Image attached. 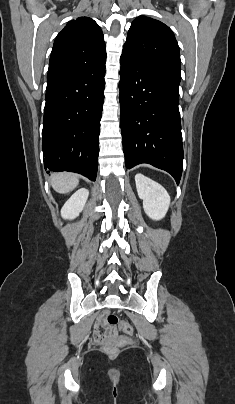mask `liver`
Returning a JSON list of instances; mask_svg holds the SVG:
<instances>
[{"label": "liver", "mask_w": 235, "mask_h": 404, "mask_svg": "<svg viewBox=\"0 0 235 404\" xmlns=\"http://www.w3.org/2000/svg\"><path fill=\"white\" fill-rule=\"evenodd\" d=\"M78 175L73 173H57L51 177V185L58 193H69L77 187Z\"/></svg>", "instance_id": "1"}]
</instances>
